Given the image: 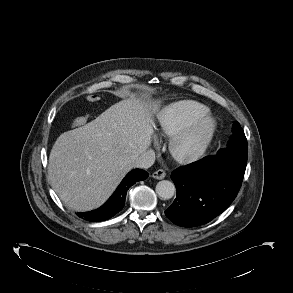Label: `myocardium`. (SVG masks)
Returning a JSON list of instances; mask_svg holds the SVG:
<instances>
[{
	"label": "myocardium",
	"instance_id": "1",
	"mask_svg": "<svg viewBox=\"0 0 293 293\" xmlns=\"http://www.w3.org/2000/svg\"><path fill=\"white\" fill-rule=\"evenodd\" d=\"M217 128L213 117L206 114L196 118L174 134L168 144L171 156L179 163L190 164L198 160L208 148ZM197 135L198 140L189 152L180 151V145L190 137Z\"/></svg>",
	"mask_w": 293,
	"mask_h": 293
}]
</instances>
